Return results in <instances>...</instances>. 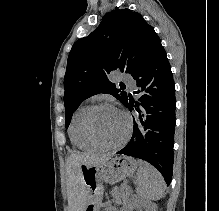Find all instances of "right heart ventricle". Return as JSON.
Listing matches in <instances>:
<instances>
[{
    "instance_id": "1",
    "label": "right heart ventricle",
    "mask_w": 219,
    "mask_h": 211,
    "mask_svg": "<svg viewBox=\"0 0 219 211\" xmlns=\"http://www.w3.org/2000/svg\"><path fill=\"white\" fill-rule=\"evenodd\" d=\"M89 108V105L83 104L74 110L69 125V136L75 146L83 151L93 153L101 148L92 143L85 132L84 122Z\"/></svg>"
}]
</instances>
